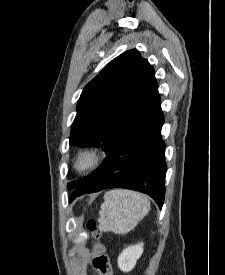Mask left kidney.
<instances>
[{
	"label": "left kidney",
	"mask_w": 225,
	"mask_h": 275,
	"mask_svg": "<svg viewBox=\"0 0 225 275\" xmlns=\"http://www.w3.org/2000/svg\"><path fill=\"white\" fill-rule=\"evenodd\" d=\"M142 254L143 243L127 247L118 257V267L123 272L131 271L135 267L137 260L141 257Z\"/></svg>",
	"instance_id": "obj_1"
}]
</instances>
